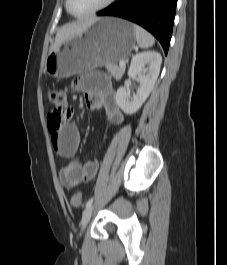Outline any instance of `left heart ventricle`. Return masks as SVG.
<instances>
[{"label":"left heart ventricle","mask_w":227,"mask_h":265,"mask_svg":"<svg viewBox=\"0 0 227 265\" xmlns=\"http://www.w3.org/2000/svg\"><path fill=\"white\" fill-rule=\"evenodd\" d=\"M105 0H71V9L77 14H83L101 5Z\"/></svg>","instance_id":"left-heart-ventricle-1"}]
</instances>
